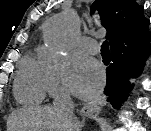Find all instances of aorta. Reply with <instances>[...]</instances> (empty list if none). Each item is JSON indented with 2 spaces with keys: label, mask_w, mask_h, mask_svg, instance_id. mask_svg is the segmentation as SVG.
Instances as JSON below:
<instances>
[{
  "label": "aorta",
  "mask_w": 151,
  "mask_h": 131,
  "mask_svg": "<svg viewBox=\"0 0 151 131\" xmlns=\"http://www.w3.org/2000/svg\"><path fill=\"white\" fill-rule=\"evenodd\" d=\"M75 27V17L69 12L48 22L45 28V40L53 48L60 50L65 44L69 32Z\"/></svg>",
  "instance_id": "762f6f07"
}]
</instances>
